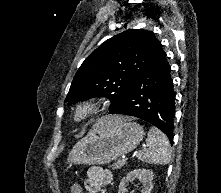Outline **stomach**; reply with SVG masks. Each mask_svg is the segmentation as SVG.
<instances>
[{
  "label": "stomach",
  "mask_w": 221,
  "mask_h": 193,
  "mask_svg": "<svg viewBox=\"0 0 221 193\" xmlns=\"http://www.w3.org/2000/svg\"><path fill=\"white\" fill-rule=\"evenodd\" d=\"M101 120L72 148L69 162L84 165L107 164L131 152L144 137L143 126L136 122L125 119L117 124L105 125Z\"/></svg>",
  "instance_id": "0dacf381"
}]
</instances>
